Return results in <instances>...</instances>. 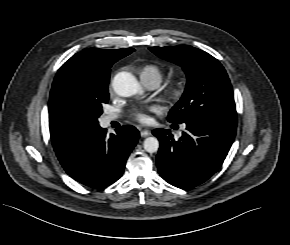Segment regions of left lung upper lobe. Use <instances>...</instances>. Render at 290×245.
I'll list each match as a JSON object with an SVG mask.
<instances>
[{
    "instance_id": "5c2ea615",
    "label": "left lung upper lobe",
    "mask_w": 290,
    "mask_h": 245,
    "mask_svg": "<svg viewBox=\"0 0 290 245\" xmlns=\"http://www.w3.org/2000/svg\"><path fill=\"white\" fill-rule=\"evenodd\" d=\"M149 49L160 58L180 65L187 75L186 89L170 110L169 122L184 123L195 117H203L236 129L233 89L225 69L216 58L187 45Z\"/></svg>"
}]
</instances>
